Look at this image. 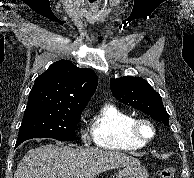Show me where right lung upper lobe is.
Wrapping results in <instances>:
<instances>
[{
  "mask_svg": "<svg viewBox=\"0 0 194 178\" xmlns=\"http://www.w3.org/2000/svg\"><path fill=\"white\" fill-rule=\"evenodd\" d=\"M97 83L92 69L78 68L69 60H60L35 79L28 101L48 100L67 108L83 110Z\"/></svg>",
  "mask_w": 194,
  "mask_h": 178,
  "instance_id": "right-lung-upper-lobe-1",
  "label": "right lung upper lobe"
}]
</instances>
